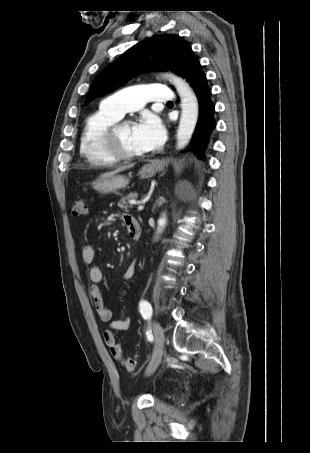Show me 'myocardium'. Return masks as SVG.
Instances as JSON below:
<instances>
[{
  "mask_svg": "<svg viewBox=\"0 0 310 453\" xmlns=\"http://www.w3.org/2000/svg\"><path fill=\"white\" fill-rule=\"evenodd\" d=\"M125 124H131L129 120H118L108 128L103 136V145L109 155L118 161H134L145 156L142 154L127 153L120 142L119 131Z\"/></svg>",
  "mask_w": 310,
  "mask_h": 453,
  "instance_id": "1",
  "label": "myocardium"
}]
</instances>
